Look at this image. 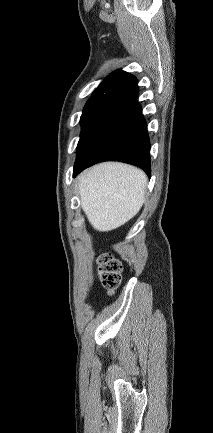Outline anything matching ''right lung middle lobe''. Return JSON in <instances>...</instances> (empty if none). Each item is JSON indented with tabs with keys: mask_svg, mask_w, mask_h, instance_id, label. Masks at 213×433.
<instances>
[{
	"mask_svg": "<svg viewBox=\"0 0 213 433\" xmlns=\"http://www.w3.org/2000/svg\"><path fill=\"white\" fill-rule=\"evenodd\" d=\"M113 95L92 97L86 103L80 123L82 125L81 135L87 129L92 120L115 98Z\"/></svg>",
	"mask_w": 213,
	"mask_h": 433,
	"instance_id": "obj_1",
	"label": "right lung middle lobe"
}]
</instances>
